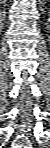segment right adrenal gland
<instances>
[{
  "label": "right adrenal gland",
  "instance_id": "2a0ac1e0",
  "mask_svg": "<svg viewBox=\"0 0 50 148\" xmlns=\"http://www.w3.org/2000/svg\"><path fill=\"white\" fill-rule=\"evenodd\" d=\"M3 4H4V6H5V0L2 2Z\"/></svg>",
  "mask_w": 50,
  "mask_h": 148
}]
</instances>
